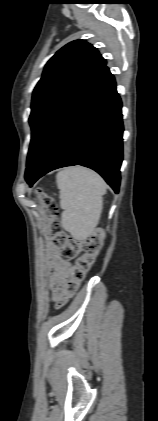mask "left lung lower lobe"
Returning a JSON list of instances; mask_svg holds the SVG:
<instances>
[{"mask_svg": "<svg viewBox=\"0 0 158 421\" xmlns=\"http://www.w3.org/2000/svg\"><path fill=\"white\" fill-rule=\"evenodd\" d=\"M121 100L114 76L104 66L53 119L25 173L32 186L47 172L82 165L98 172L119 191L123 159Z\"/></svg>", "mask_w": 158, "mask_h": 421, "instance_id": "0a47b994", "label": "left lung lower lobe"}]
</instances>
